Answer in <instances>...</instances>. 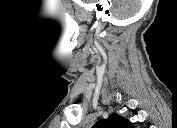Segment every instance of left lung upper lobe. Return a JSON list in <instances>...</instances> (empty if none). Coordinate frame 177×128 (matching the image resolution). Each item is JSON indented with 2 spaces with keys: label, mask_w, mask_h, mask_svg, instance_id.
<instances>
[{
  "label": "left lung upper lobe",
  "mask_w": 177,
  "mask_h": 128,
  "mask_svg": "<svg viewBox=\"0 0 177 128\" xmlns=\"http://www.w3.org/2000/svg\"><path fill=\"white\" fill-rule=\"evenodd\" d=\"M95 128H133L130 121L122 118L118 114H111L107 119L99 120Z\"/></svg>",
  "instance_id": "5c2ea615"
}]
</instances>
